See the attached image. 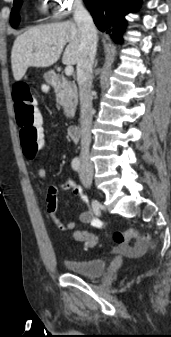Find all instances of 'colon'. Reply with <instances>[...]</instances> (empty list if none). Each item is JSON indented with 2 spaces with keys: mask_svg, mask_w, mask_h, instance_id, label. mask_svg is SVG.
I'll return each mask as SVG.
<instances>
[{
  "mask_svg": "<svg viewBox=\"0 0 171 337\" xmlns=\"http://www.w3.org/2000/svg\"><path fill=\"white\" fill-rule=\"evenodd\" d=\"M13 99L21 147L25 157L33 160L39 151H47L49 148L45 144V126H41V115L35 107L27 83L14 85ZM74 237L86 248L95 247L98 243L97 237L88 231H76ZM113 241L122 250L132 253H139L144 246L152 245L147 233H141L135 229L115 231Z\"/></svg>",
  "mask_w": 171,
  "mask_h": 337,
  "instance_id": "1",
  "label": "colon"
}]
</instances>
